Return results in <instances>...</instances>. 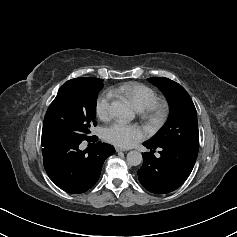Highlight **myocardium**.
<instances>
[{
	"mask_svg": "<svg viewBox=\"0 0 237 237\" xmlns=\"http://www.w3.org/2000/svg\"><path fill=\"white\" fill-rule=\"evenodd\" d=\"M167 111L168 107L166 103L156 101L145 110V114L154 121H160L166 116Z\"/></svg>",
	"mask_w": 237,
	"mask_h": 237,
	"instance_id": "obj_1",
	"label": "myocardium"
}]
</instances>
